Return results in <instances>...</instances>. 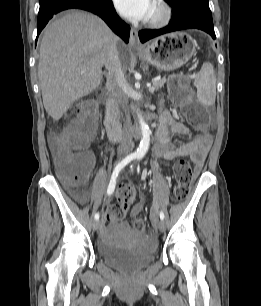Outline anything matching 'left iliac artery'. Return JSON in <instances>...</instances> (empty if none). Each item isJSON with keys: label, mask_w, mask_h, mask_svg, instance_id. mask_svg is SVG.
I'll return each mask as SVG.
<instances>
[{"label": "left iliac artery", "mask_w": 261, "mask_h": 306, "mask_svg": "<svg viewBox=\"0 0 261 306\" xmlns=\"http://www.w3.org/2000/svg\"><path fill=\"white\" fill-rule=\"evenodd\" d=\"M131 170H133V166L131 165ZM160 219L163 220L165 218V215L163 213V211H160L159 213Z\"/></svg>", "instance_id": "44dca946"}]
</instances>
